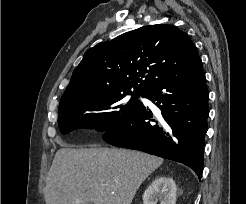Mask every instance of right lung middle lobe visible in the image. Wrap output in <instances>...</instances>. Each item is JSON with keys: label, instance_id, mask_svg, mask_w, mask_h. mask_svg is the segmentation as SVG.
Instances as JSON below:
<instances>
[{"label": "right lung middle lobe", "instance_id": "dd1d6c3e", "mask_svg": "<svg viewBox=\"0 0 246 204\" xmlns=\"http://www.w3.org/2000/svg\"><path fill=\"white\" fill-rule=\"evenodd\" d=\"M126 95H132L125 103ZM142 93L126 92L98 95L72 101L59 107L58 125L62 134L78 128L92 129L102 134L124 124L138 106Z\"/></svg>", "mask_w": 246, "mask_h": 204}]
</instances>
